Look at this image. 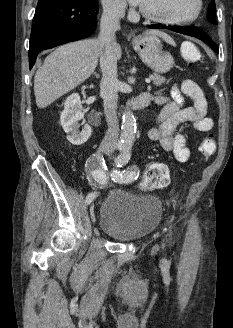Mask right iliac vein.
<instances>
[{
	"mask_svg": "<svg viewBox=\"0 0 233 328\" xmlns=\"http://www.w3.org/2000/svg\"><path fill=\"white\" fill-rule=\"evenodd\" d=\"M107 152H109V149L107 147H101L98 150V153L99 154H101V153H107ZM90 216H91L92 222L95 223L96 219H95L94 205L93 204L90 206Z\"/></svg>",
	"mask_w": 233,
	"mask_h": 328,
	"instance_id": "obj_1",
	"label": "right iliac vein"
}]
</instances>
